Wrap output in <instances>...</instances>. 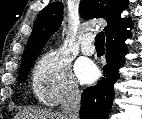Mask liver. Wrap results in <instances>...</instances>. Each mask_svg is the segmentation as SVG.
Returning a JSON list of instances; mask_svg holds the SVG:
<instances>
[{
  "instance_id": "1",
  "label": "liver",
  "mask_w": 142,
  "mask_h": 119,
  "mask_svg": "<svg viewBox=\"0 0 142 119\" xmlns=\"http://www.w3.org/2000/svg\"><path fill=\"white\" fill-rule=\"evenodd\" d=\"M21 119H63L62 114L48 110H25L20 116Z\"/></svg>"
}]
</instances>
